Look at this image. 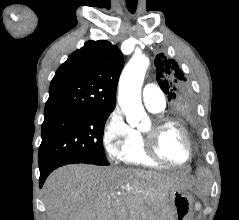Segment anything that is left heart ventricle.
<instances>
[{
  "instance_id": "obj_1",
  "label": "left heart ventricle",
  "mask_w": 239,
  "mask_h": 220,
  "mask_svg": "<svg viewBox=\"0 0 239 220\" xmlns=\"http://www.w3.org/2000/svg\"><path fill=\"white\" fill-rule=\"evenodd\" d=\"M149 126V120H147L142 128L146 129ZM158 148L160 153L167 159L174 162H182L187 157V146L180 131L169 126L163 129L158 138Z\"/></svg>"
}]
</instances>
